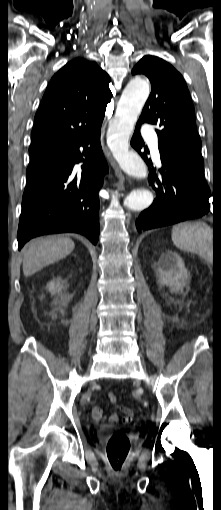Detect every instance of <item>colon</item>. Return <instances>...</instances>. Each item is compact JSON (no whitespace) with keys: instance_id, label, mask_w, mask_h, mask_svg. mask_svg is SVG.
Instances as JSON below:
<instances>
[{"instance_id":"1","label":"colon","mask_w":221,"mask_h":510,"mask_svg":"<svg viewBox=\"0 0 221 510\" xmlns=\"http://www.w3.org/2000/svg\"><path fill=\"white\" fill-rule=\"evenodd\" d=\"M110 402L115 403L117 398L115 394H109ZM123 423L132 421V414L127 412L121 418ZM130 450V441L127 435L122 431L115 432L108 440L106 445V455L115 474H121L123 471L124 461Z\"/></svg>"}]
</instances>
